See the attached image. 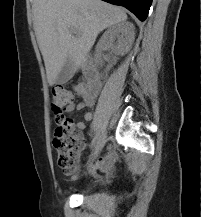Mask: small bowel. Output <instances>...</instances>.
<instances>
[{"mask_svg": "<svg viewBox=\"0 0 202 217\" xmlns=\"http://www.w3.org/2000/svg\"><path fill=\"white\" fill-rule=\"evenodd\" d=\"M75 93L81 97V101L76 105H72L68 108L67 112L70 113L73 110H83L85 108H90L94 105V101L97 93L89 94L86 90L85 85H78L74 88ZM84 119L86 121H90L92 119V113L87 112L84 115ZM72 126L78 129H84L85 124L83 122H74L71 121ZM119 161V154L115 151L110 152L106 156L99 159L92 167L90 172L92 174H96L97 171H101L104 173H109L113 170L115 164Z\"/></svg>", "mask_w": 202, "mask_h": 217, "instance_id": "obj_1", "label": "small bowel"}]
</instances>
